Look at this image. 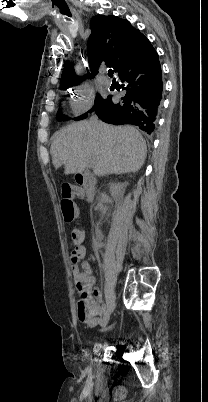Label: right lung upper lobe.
<instances>
[{"label":"right lung upper lobe","instance_id":"obj_1","mask_svg":"<svg viewBox=\"0 0 208 402\" xmlns=\"http://www.w3.org/2000/svg\"><path fill=\"white\" fill-rule=\"evenodd\" d=\"M90 27L92 33L87 50L91 73L87 76L94 77L102 62L117 72L120 59L131 49L141 33L128 20L116 16L96 15L91 19ZM81 81L82 78L75 75L72 63L67 64L61 77V89Z\"/></svg>","mask_w":208,"mask_h":402}]
</instances>
